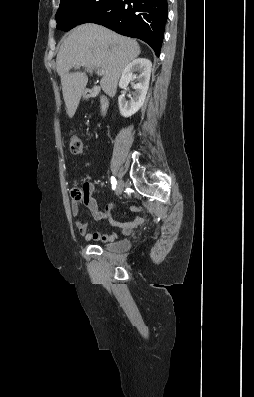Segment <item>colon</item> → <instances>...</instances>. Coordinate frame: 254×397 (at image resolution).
Instances as JSON below:
<instances>
[{
	"instance_id": "5ec220e1",
	"label": "colon",
	"mask_w": 254,
	"mask_h": 397,
	"mask_svg": "<svg viewBox=\"0 0 254 397\" xmlns=\"http://www.w3.org/2000/svg\"><path fill=\"white\" fill-rule=\"evenodd\" d=\"M69 148L71 153L79 155L83 152L84 146L82 139L77 135H70L69 137ZM87 184L84 183L82 187L74 189L72 197L76 202H85L87 200Z\"/></svg>"
}]
</instances>
